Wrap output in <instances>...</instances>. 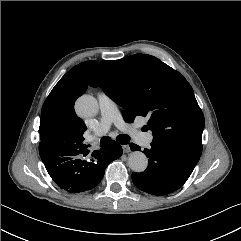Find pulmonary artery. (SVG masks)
<instances>
[{"instance_id":"e3ab8cb5","label":"pulmonary artery","mask_w":241,"mask_h":241,"mask_svg":"<svg viewBox=\"0 0 241 241\" xmlns=\"http://www.w3.org/2000/svg\"><path fill=\"white\" fill-rule=\"evenodd\" d=\"M97 98L100 109V119L91 136V140L106 134L111 124L114 123L121 130L127 131L139 144L149 146L152 143L153 135L150 132H142L135 126L125 123L115 102L110 96L104 92H100Z\"/></svg>"}]
</instances>
